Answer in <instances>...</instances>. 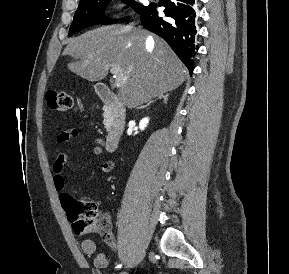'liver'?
Wrapping results in <instances>:
<instances>
[{"mask_svg":"<svg viewBox=\"0 0 289 274\" xmlns=\"http://www.w3.org/2000/svg\"><path fill=\"white\" fill-rule=\"evenodd\" d=\"M63 55L77 60L69 70L92 82L121 67L127 79L118 95L130 109L178 88L187 74L165 41L131 26H104L71 38Z\"/></svg>","mask_w":289,"mask_h":274,"instance_id":"1","label":"liver"}]
</instances>
